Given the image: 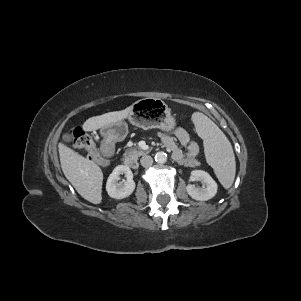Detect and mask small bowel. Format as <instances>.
Wrapping results in <instances>:
<instances>
[{
  "instance_id": "small-bowel-1",
  "label": "small bowel",
  "mask_w": 301,
  "mask_h": 301,
  "mask_svg": "<svg viewBox=\"0 0 301 301\" xmlns=\"http://www.w3.org/2000/svg\"><path fill=\"white\" fill-rule=\"evenodd\" d=\"M177 139L175 141L169 133L161 132L165 146L171 151L173 158L182 164L190 163L199 153V146L192 141L189 134L181 127L171 132Z\"/></svg>"
}]
</instances>
